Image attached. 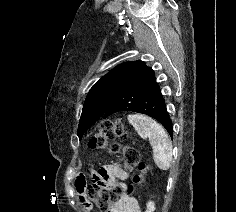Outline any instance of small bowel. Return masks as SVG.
<instances>
[{"mask_svg": "<svg viewBox=\"0 0 236 212\" xmlns=\"http://www.w3.org/2000/svg\"><path fill=\"white\" fill-rule=\"evenodd\" d=\"M125 177L124 173L119 172L116 166H110L100 175L101 180L107 185L109 181L117 175ZM85 181L82 178H79L77 183V191L79 192L80 198L83 203L85 212H90L91 205L86 199L85 193ZM112 212H141L139 203L134 196L123 195L120 201L114 205Z\"/></svg>", "mask_w": 236, "mask_h": 212, "instance_id": "1", "label": "small bowel"}]
</instances>
